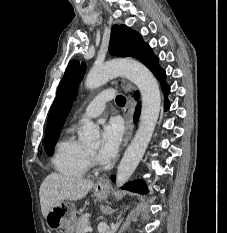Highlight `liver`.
Instances as JSON below:
<instances>
[{"label": "liver", "instance_id": "liver-1", "mask_svg": "<svg viewBox=\"0 0 227 233\" xmlns=\"http://www.w3.org/2000/svg\"><path fill=\"white\" fill-rule=\"evenodd\" d=\"M94 187L91 180L51 173L43 180L39 190L41 211L47 218L49 211L64 201L83 199Z\"/></svg>", "mask_w": 227, "mask_h": 233}]
</instances>
